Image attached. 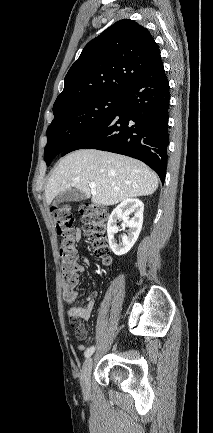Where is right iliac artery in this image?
Wrapping results in <instances>:
<instances>
[{
	"instance_id": "right-iliac-artery-1",
	"label": "right iliac artery",
	"mask_w": 213,
	"mask_h": 433,
	"mask_svg": "<svg viewBox=\"0 0 213 433\" xmlns=\"http://www.w3.org/2000/svg\"><path fill=\"white\" fill-rule=\"evenodd\" d=\"M94 350H95L94 346L87 348V350L84 353L85 357L86 358L90 357L93 354Z\"/></svg>"
}]
</instances>
